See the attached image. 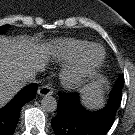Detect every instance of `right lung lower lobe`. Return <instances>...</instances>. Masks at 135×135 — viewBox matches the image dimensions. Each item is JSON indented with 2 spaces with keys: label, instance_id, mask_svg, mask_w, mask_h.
Masks as SVG:
<instances>
[{
  "label": "right lung lower lobe",
  "instance_id": "1",
  "mask_svg": "<svg viewBox=\"0 0 135 135\" xmlns=\"http://www.w3.org/2000/svg\"><path fill=\"white\" fill-rule=\"evenodd\" d=\"M36 90L37 84L26 86L0 110V135H12L14 133L22 106L35 97Z\"/></svg>",
  "mask_w": 135,
  "mask_h": 135
}]
</instances>
